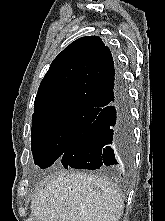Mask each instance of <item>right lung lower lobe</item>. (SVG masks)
Instances as JSON below:
<instances>
[{"instance_id": "1", "label": "right lung lower lobe", "mask_w": 165, "mask_h": 221, "mask_svg": "<svg viewBox=\"0 0 165 221\" xmlns=\"http://www.w3.org/2000/svg\"><path fill=\"white\" fill-rule=\"evenodd\" d=\"M132 131L129 98L120 76L111 101L98 110L95 120L61 156L68 169L126 171L131 157Z\"/></svg>"}]
</instances>
